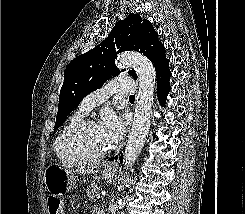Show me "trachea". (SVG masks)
I'll use <instances>...</instances> for the list:
<instances>
[{
  "label": "trachea",
  "mask_w": 245,
  "mask_h": 214,
  "mask_svg": "<svg viewBox=\"0 0 245 214\" xmlns=\"http://www.w3.org/2000/svg\"><path fill=\"white\" fill-rule=\"evenodd\" d=\"M129 99H135L134 95H130Z\"/></svg>",
  "instance_id": "trachea-1"
}]
</instances>
